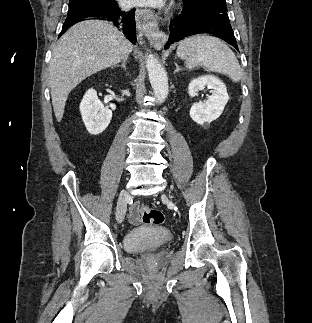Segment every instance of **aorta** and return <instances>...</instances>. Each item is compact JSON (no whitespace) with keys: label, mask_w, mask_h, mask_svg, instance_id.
I'll use <instances>...</instances> for the list:
<instances>
[{"label":"aorta","mask_w":312,"mask_h":323,"mask_svg":"<svg viewBox=\"0 0 312 323\" xmlns=\"http://www.w3.org/2000/svg\"><path fill=\"white\" fill-rule=\"evenodd\" d=\"M146 68L153 88L154 96L159 102H164L168 96V80L164 68L154 56H146Z\"/></svg>","instance_id":"1"}]
</instances>
